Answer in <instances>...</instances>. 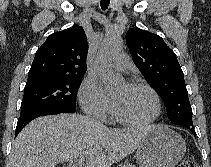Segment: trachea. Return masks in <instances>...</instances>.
<instances>
[{
  "label": "trachea",
  "mask_w": 211,
  "mask_h": 167,
  "mask_svg": "<svg viewBox=\"0 0 211 167\" xmlns=\"http://www.w3.org/2000/svg\"><path fill=\"white\" fill-rule=\"evenodd\" d=\"M109 4H110V0H101L100 5H101L102 10H106Z\"/></svg>",
  "instance_id": "3493384b"
}]
</instances>
